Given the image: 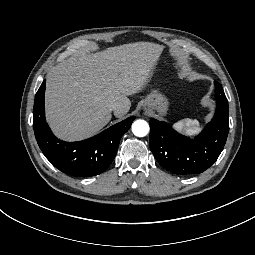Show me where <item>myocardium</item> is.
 <instances>
[{
  "instance_id": "obj_1",
  "label": "myocardium",
  "mask_w": 255,
  "mask_h": 255,
  "mask_svg": "<svg viewBox=\"0 0 255 255\" xmlns=\"http://www.w3.org/2000/svg\"><path fill=\"white\" fill-rule=\"evenodd\" d=\"M151 95H159L165 98L166 100V107L164 109L160 110V121L157 125H149L144 121V117L148 116L150 114V112L154 109V106L152 104V102L150 101V95L145 97V106L143 109L138 111V115L141 117V120L146 124L148 130L150 132H154L159 128V125L164 123L165 120L167 119V117H169L175 107V100L172 97V95L164 88H159L156 91H154L153 93H151ZM130 106L132 108V110L136 109L137 106V97L135 95H132L130 98Z\"/></svg>"
}]
</instances>
